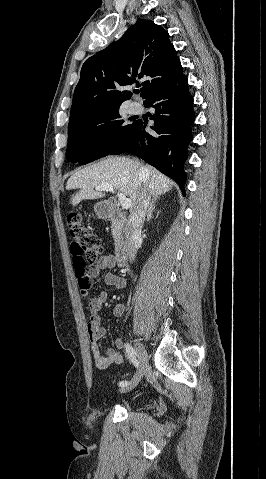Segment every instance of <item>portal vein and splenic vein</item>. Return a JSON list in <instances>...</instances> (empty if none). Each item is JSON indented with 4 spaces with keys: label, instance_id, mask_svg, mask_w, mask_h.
<instances>
[{
    "label": "portal vein and splenic vein",
    "instance_id": "obj_1",
    "mask_svg": "<svg viewBox=\"0 0 266 479\" xmlns=\"http://www.w3.org/2000/svg\"><path fill=\"white\" fill-rule=\"evenodd\" d=\"M95 189L98 191L114 192L112 185L109 184L97 186ZM117 196L122 206V209L127 210L131 207V200L129 198H126L124 194L118 193Z\"/></svg>",
    "mask_w": 266,
    "mask_h": 479
}]
</instances>
